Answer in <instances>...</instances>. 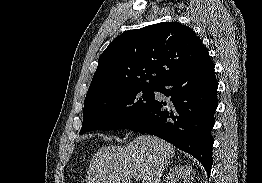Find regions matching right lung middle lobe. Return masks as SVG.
<instances>
[{"label":"right lung middle lobe","mask_w":262,"mask_h":183,"mask_svg":"<svg viewBox=\"0 0 262 183\" xmlns=\"http://www.w3.org/2000/svg\"><path fill=\"white\" fill-rule=\"evenodd\" d=\"M156 88H131L86 101L80 134L92 130L125 129L154 100Z\"/></svg>","instance_id":"1"}]
</instances>
